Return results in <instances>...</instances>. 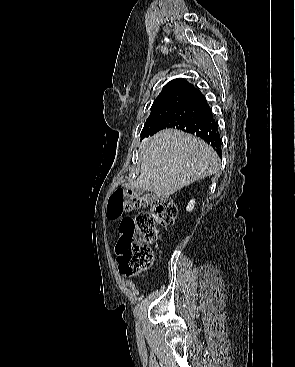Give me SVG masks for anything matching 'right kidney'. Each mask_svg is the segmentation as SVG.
<instances>
[{"instance_id": "ca27d5eb", "label": "right kidney", "mask_w": 295, "mask_h": 367, "mask_svg": "<svg viewBox=\"0 0 295 367\" xmlns=\"http://www.w3.org/2000/svg\"><path fill=\"white\" fill-rule=\"evenodd\" d=\"M194 206H195V200L192 199V200L189 201V203H188V205L186 207V210L188 212H191L194 209Z\"/></svg>"}]
</instances>
